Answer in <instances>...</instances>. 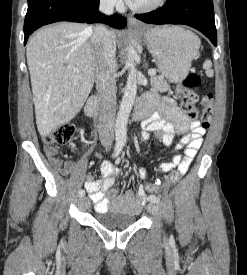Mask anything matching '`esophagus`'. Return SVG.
<instances>
[{"label":"esophagus","mask_w":247,"mask_h":275,"mask_svg":"<svg viewBox=\"0 0 247 275\" xmlns=\"http://www.w3.org/2000/svg\"><path fill=\"white\" fill-rule=\"evenodd\" d=\"M127 20L130 27H144V25L133 16H128Z\"/></svg>","instance_id":"1"}]
</instances>
